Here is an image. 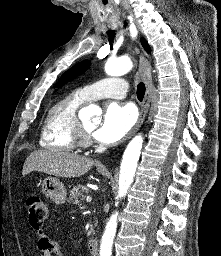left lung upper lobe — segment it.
Segmentation results:
<instances>
[{
  "label": "left lung upper lobe",
  "mask_w": 221,
  "mask_h": 256,
  "mask_svg": "<svg viewBox=\"0 0 221 256\" xmlns=\"http://www.w3.org/2000/svg\"><path fill=\"white\" fill-rule=\"evenodd\" d=\"M141 43H142V45H143V47L145 48L146 51H150V48H149L145 39L141 38ZM89 67H90V61L89 60H84V61L76 64L75 66H73L72 68L67 70L61 76V78L58 81L57 86H61L65 83H67L68 81L73 80L78 75H81L82 73H84Z\"/></svg>",
  "instance_id": "5c2ea615"
}]
</instances>
